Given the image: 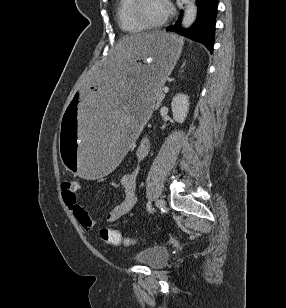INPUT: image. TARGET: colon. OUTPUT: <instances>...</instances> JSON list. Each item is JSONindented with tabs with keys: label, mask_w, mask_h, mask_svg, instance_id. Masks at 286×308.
<instances>
[{
	"label": "colon",
	"mask_w": 286,
	"mask_h": 308,
	"mask_svg": "<svg viewBox=\"0 0 286 308\" xmlns=\"http://www.w3.org/2000/svg\"><path fill=\"white\" fill-rule=\"evenodd\" d=\"M79 188V183L75 180H67L62 183L63 192L68 196H75ZM101 238L108 244L114 246H133L138 240L125 238L122 234L114 229L102 228L100 231Z\"/></svg>",
	"instance_id": "5ec220e1"
}]
</instances>
